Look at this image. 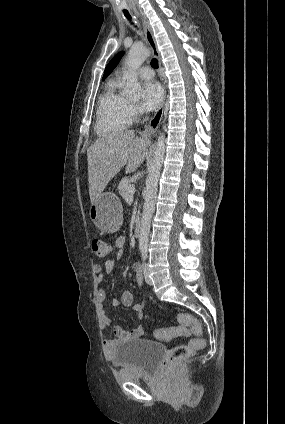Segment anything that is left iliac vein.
Masks as SVG:
<instances>
[{
  "mask_svg": "<svg viewBox=\"0 0 285 424\" xmlns=\"http://www.w3.org/2000/svg\"><path fill=\"white\" fill-rule=\"evenodd\" d=\"M144 277L147 284L152 285V280L149 277L148 269L146 263L143 265Z\"/></svg>",
  "mask_w": 285,
  "mask_h": 424,
  "instance_id": "obj_1",
  "label": "left iliac vein"
}]
</instances>
